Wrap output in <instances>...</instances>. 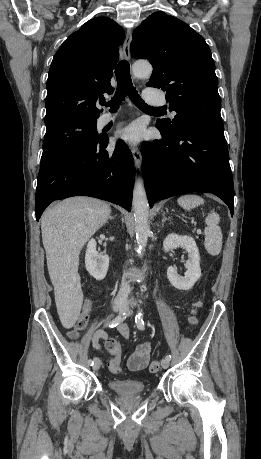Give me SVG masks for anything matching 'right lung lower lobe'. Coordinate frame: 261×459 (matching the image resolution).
<instances>
[{"label":"right lung lower lobe","instance_id":"right-lung-lower-lobe-1","mask_svg":"<svg viewBox=\"0 0 261 459\" xmlns=\"http://www.w3.org/2000/svg\"><path fill=\"white\" fill-rule=\"evenodd\" d=\"M107 137L88 147L68 151L40 165L35 197L36 220L54 200L91 196L131 211L134 162L127 145L119 141L108 153Z\"/></svg>","mask_w":261,"mask_h":459}]
</instances>
